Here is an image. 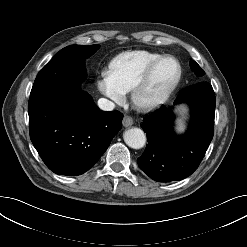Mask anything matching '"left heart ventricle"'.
Returning a JSON list of instances; mask_svg holds the SVG:
<instances>
[{
    "mask_svg": "<svg viewBox=\"0 0 247 247\" xmlns=\"http://www.w3.org/2000/svg\"><path fill=\"white\" fill-rule=\"evenodd\" d=\"M177 66L172 60L162 61L155 69L152 78L144 92V99H149L160 94L174 80Z\"/></svg>",
    "mask_w": 247,
    "mask_h": 247,
    "instance_id": "left-heart-ventricle-1",
    "label": "left heart ventricle"
}]
</instances>
